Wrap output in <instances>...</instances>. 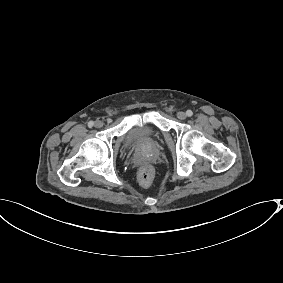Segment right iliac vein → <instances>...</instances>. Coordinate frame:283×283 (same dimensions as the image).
<instances>
[{
	"label": "right iliac vein",
	"instance_id": "1",
	"mask_svg": "<svg viewBox=\"0 0 283 283\" xmlns=\"http://www.w3.org/2000/svg\"><path fill=\"white\" fill-rule=\"evenodd\" d=\"M94 126L96 128H101L103 126V122L100 121V120H96L95 123H94Z\"/></svg>",
	"mask_w": 283,
	"mask_h": 283
}]
</instances>
